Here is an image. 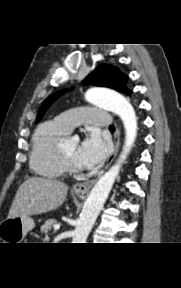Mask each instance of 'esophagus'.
<instances>
[{
	"instance_id": "esophagus-1",
	"label": "esophagus",
	"mask_w": 181,
	"mask_h": 288,
	"mask_svg": "<svg viewBox=\"0 0 181 288\" xmlns=\"http://www.w3.org/2000/svg\"><path fill=\"white\" fill-rule=\"evenodd\" d=\"M119 145H120V129L117 127L115 134H114V151L110 155V157L108 158L104 169L96 177H94L90 181L80 182V183L74 184L73 188H72L74 193H76L77 195H79L83 198L88 196L91 187L94 185V183L97 181V179L100 177V175L109 167V165L112 163V161L116 157L118 150H119Z\"/></svg>"
}]
</instances>
